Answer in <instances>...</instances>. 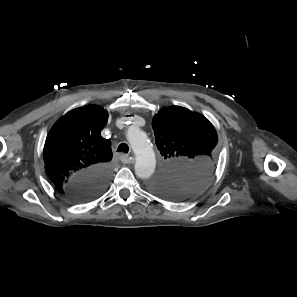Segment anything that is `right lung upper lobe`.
Returning a JSON list of instances; mask_svg holds the SVG:
<instances>
[{"label": "right lung upper lobe", "instance_id": "1", "mask_svg": "<svg viewBox=\"0 0 297 297\" xmlns=\"http://www.w3.org/2000/svg\"><path fill=\"white\" fill-rule=\"evenodd\" d=\"M107 120L106 110L89 105L66 114L50 130L43 152L45 170L60 192L75 175L109 167L111 142L100 135Z\"/></svg>", "mask_w": 297, "mask_h": 297}]
</instances>
